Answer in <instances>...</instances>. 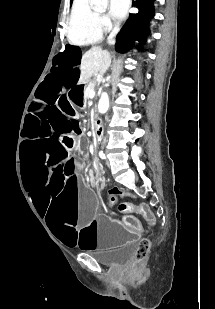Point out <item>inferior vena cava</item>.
Returning a JSON list of instances; mask_svg holds the SVG:
<instances>
[{"label":"inferior vena cava","instance_id":"1","mask_svg":"<svg viewBox=\"0 0 215 309\" xmlns=\"http://www.w3.org/2000/svg\"><path fill=\"white\" fill-rule=\"evenodd\" d=\"M119 30H120V24H119V22H116L113 30H111L109 36H107L108 44H115L114 36H116V34H117V32H119Z\"/></svg>","mask_w":215,"mask_h":309}]
</instances>
